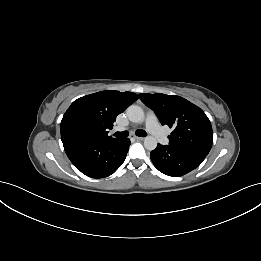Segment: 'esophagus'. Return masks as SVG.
<instances>
[{
    "mask_svg": "<svg viewBox=\"0 0 261 261\" xmlns=\"http://www.w3.org/2000/svg\"><path fill=\"white\" fill-rule=\"evenodd\" d=\"M134 139H135L136 141H143V140H144L143 137H137V136H135Z\"/></svg>",
    "mask_w": 261,
    "mask_h": 261,
    "instance_id": "34e87169",
    "label": "esophagus"
}]
</instances>
